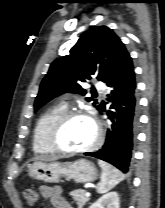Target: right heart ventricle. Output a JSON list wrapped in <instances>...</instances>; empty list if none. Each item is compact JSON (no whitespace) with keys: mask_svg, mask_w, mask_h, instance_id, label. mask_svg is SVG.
<instances>
[{"mask_svg":"<svg viewBox=\"0 0 165 208\" xmlns=\"http://www.w3.org/2000/svg\"><path fill=\"white\" fill-rule=\"evenodd\" d=\"M65 111L66 104H57L44 111L38 118L32 135V148L36 154H52L55 151L50 147L47 141V134L54 121Z\"/></svg>","mask_w":165,"mask_h":208,"instance_id":"e07e8e85","label":"right heart ventricle"}]
</instances>
